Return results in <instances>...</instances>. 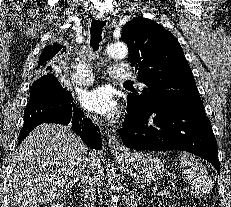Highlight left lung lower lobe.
<instances>
[{
	"label": "left lung lower lobe",
	"mask_w": 231,
	"mask_h": 207,
	"mask_svg": "<svg viewBox=\"0 0 231 207\" xmlns=\"http://www.w3.org/2000/svg\"><path fill=\"white\" fill-rule=\"evenodd\" d=\"M120 136L132 149L188 151L220 173L217 142L202 101L169 109L128 110Z\"/></svg>",
	"instance_id": "1"
}]
</instances>
